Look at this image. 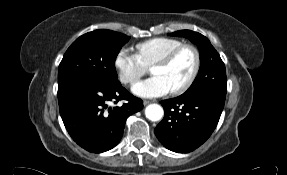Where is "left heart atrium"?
Returning <instances> with one entry per match:
<instances>
[{
    "label": "left heart atrium",
    "mask_w": 287,
    "mask_h": 175,
    "mask_svg": "<svg viewBox=\"0 0 287 175\" xmlns=\"http://www.w3.org/2000/svg\"><path fill=\"white\" fill-rule=\"evenodd\" d=\"M132 90L140 97H158L171 92L167 82L161 76L157 75L136 83Z\"/></svg>",
    "instance_id": "1"
}]
</instances>
